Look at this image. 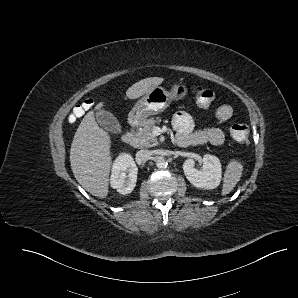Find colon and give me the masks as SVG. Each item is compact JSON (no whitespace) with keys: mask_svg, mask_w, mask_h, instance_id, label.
<instances>
[{"mask_svg":"<svg viewBox=\"0 0 298 298\" xmlns=\"http://www.w3.org/2000/svg\"><path fill=\"white\" fill-rule=\"evenodd\" d=\"M192 93L196 103L201 107L209 106L214 100L213 91L206 87L195 86L192 88ZM93 105V100H87L77 106L70 116L71 120H75L87 113ZM230 133L232 138L239 143H247L249 141L250 130L248 125L245 123L233 124L231 126Z\"/></svg>","mask_w":298,"mask_h":298,"instance_id":"1","label":"colon"}]
</instances>
